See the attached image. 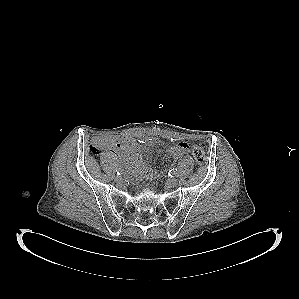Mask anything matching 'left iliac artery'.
<instances>
[{
	"instance_id": "left-iliac-artery-1",
	"label": "left iliac artery",
	"mask_w": 299,
	"mask_h": 299,
	"mask_svg": "<svg viewBox=\"0 0 299 299\" xmlns=\"http://www.w3.org/2000/svg\"><path fill=\"white\" fill-rule=\"evenodd\" d=\"M177 174H178V171L176 168H173L169 171V175L172 177L177 176Z\"/></svg>"
}]
</instances>
